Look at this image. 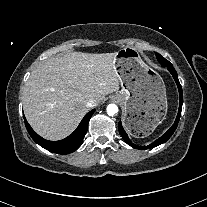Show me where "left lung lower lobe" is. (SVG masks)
<instances>
[{"label":"left lung lower lobe","mask_w":207,"mask_h":207,"mask_svg":"<svg viewBox=\"0 0 207 207\" xmlns=\"http://www.w3.org/2000/svg\"><path fill=\"white\" fill-rule=\"evenodd\" d=\"M166 67L169 70V72L172 74V76H173V78H174V80L177 84L178 91H179V96H180L179 110H178V114H177V117L175 119V122L164 135H162L159 139L155 140L152 144H150L148 146H138V145H135L134 143H132L130 141L128 135L124 131L121 122H119V133H120V135L122 136L123 140L133 148L147 149V148H153V147L159 146L160 144L165 143L172 136V134L174 133V131L176 130V128L178 126V122H179V119H180V116H181L182 104H183L182 87H181L180 82L178 80V75H177L174 67L172 66V64L171 65H166Z\"/></svg>","instance_id":"1"}]
</instances>
